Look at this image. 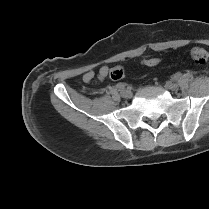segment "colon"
I'll return each mask as SVG.
<instances>
[{
    "label": "colon",
    "mask_w": 209,
    "mask_h": 209,
    "mask_svg": "<svg viewBox=\"0 0 209 209\" xmlns=\"http://www.w3.org/2000/svg\"><path fill=\"white\" fill-rule=\"evenodd\" d=\"M191 57L195 64L206 66L209 62V51L201 47H194L191 50ZM158 58H147L142 61V64L147 67H154L159 64ZM109 77L112 80H120L124 77V69L122 67H113L109 72Z\"/></svg>",
    "instance_id": "1"
}]
</instances>
